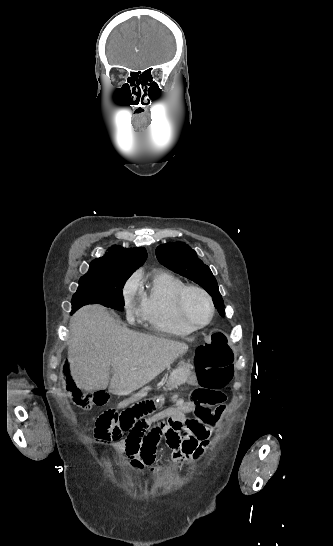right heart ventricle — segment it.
<instances>
[{
	"mask_svg": "<svg viewBox=\"0 0 333 546\" xmlns=\"http://www.w3.org/2000/svg\"><path fill=\"white\" fill-rule=\"evenodd\" d=\"M184 286L186 284L171 273H153L141 292L143 320L170 336L186 337L192 334L194 330L181 321L176 309L177 294Z\"/></svg>",
	"mask_w": 333,
	"mask_h": 546,
	"instance_id": "1",
	"label": "right heart ventricle"
}]
</instances>
